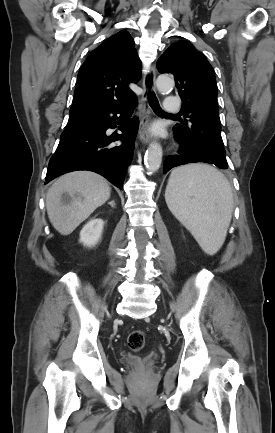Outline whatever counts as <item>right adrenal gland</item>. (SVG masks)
<instances>
[{
    "mask_svg": "<svg viewBox=\"0 0 275 433\" xmlns=\"http://www.w3.org/2000/svg\"><path fill=\"white\" fill-rule=\"evenodd\" d=\"M109 205H111V207H115V202L114 200L108 203Z\"/></svg>",
    "mask_w": 275,
    "mask_h": 433,
    "instance_id": "right-adrenal-gland-1",
    "label": "right adrenal gland"
}]
</instances>
